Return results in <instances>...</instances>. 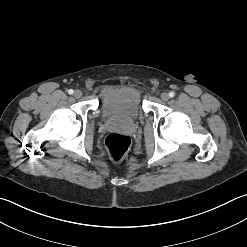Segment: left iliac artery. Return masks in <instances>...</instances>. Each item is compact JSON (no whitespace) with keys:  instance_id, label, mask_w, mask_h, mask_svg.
<instances>
[{"instance_id":"44dca946","label":"left iliac artery","mask_w":247,"mask_h":247,"mask_svg":"<svg viewBox=\"0 0 247 247\" xmlns=\"http://www.w3.org/2000/svg\"><path fill=\"white\" fill-rule=\"evenodd\" d=\"M169 96L170 97H174L175 96V93L173 91L169 92Z\"/></svg>"}]
</instances>
